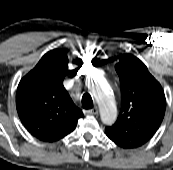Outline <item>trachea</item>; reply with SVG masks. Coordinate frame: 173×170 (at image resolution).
<instances>
[{
    "instance_id": "trachea-1",
    "label": "trachea",
    "mask_w": 173,
    "mask_h": 170,
    "mask_svg": "<svg viewBox=\"0 0 173 170\" xmlns=\"http://www.w3.org/2000/svg\"><path fill=\"white\" fill-rule=\"evenodd\" d=\"M81 103H82V107L84 109L93 108V101H92L90 94H88V93L83 94Z\"/></svg>"
}]
</instances>
